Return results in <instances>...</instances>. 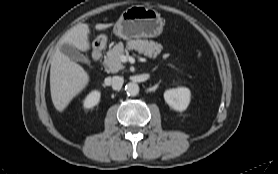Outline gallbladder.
Segmentation results:
<instances>
[{
  "instance_id": "bac80fb5",
  "label": "gallbladder",
  "mask_w": 278,
  "mask_h": 174,
  "mask_svg": "<svg viewBox=\"0 0 278 174\" xmlns=\"http://www.w3.org/2000/svg\"><path fill=\"white\" fill-rule=\"evenodd\" d=\"M60 51L69 57L71 60L81 62L83 64H86L88 66H91L90 60L81 54L79 51H77L73 46H71L68 43H64L59 47Z\"/></svg>"
}]
</instances>
